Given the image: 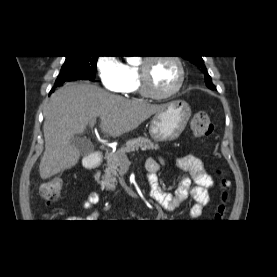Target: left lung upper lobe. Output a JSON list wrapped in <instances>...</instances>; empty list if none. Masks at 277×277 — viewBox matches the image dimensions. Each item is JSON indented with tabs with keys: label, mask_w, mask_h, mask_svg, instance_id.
<instances>
[{
	"label": "left lung upper lobe",
	"mask_w": 277,
	"mask_h": 277,
	"mask_svg": "<svg viewBox=\"0 0 277 277\" xmlns=\"http://www.w3.org/2000/svg\"><path fill=\"white\" fill-rule=\"evenodd\" d=\"M184 58L188 59L191 63L199 66L201 69H202V72H205V80H206V84L208 87L210 88H213L215 87L213 84H212V80H211V77L209 76V74L207 73V69L204 65V61L202 59L201 56H183Z\"/></svg>",
	"instance_id": "1"
}]
</instances>
